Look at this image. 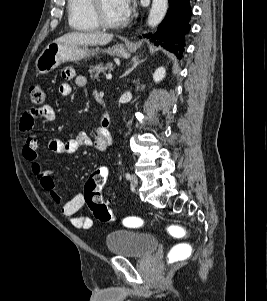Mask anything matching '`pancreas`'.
I'll return each instance as SVG.
<instances>
[{"mask_svg": "<svg viewBox=\"0 0 267 301\" xmlns=\"http://www.w3.org/2000/svg\"><path fill=\"white\" fill-rule=\"evenodd\" d=\"M112 63H99L95 66H92L89 70L90 76L92 79H98L99 73H105L107 70L111 71L113 69Z\"/></svg>", "mask_w": 267, "mask_h": 301, "instance_id": "pancreas-1", "label": "pancreas"}]
</instances>
